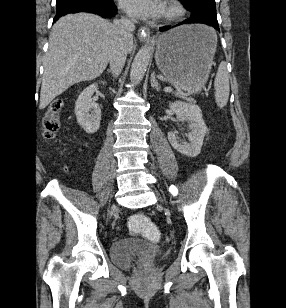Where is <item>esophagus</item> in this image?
Returning a JSON list of instances; mask_svg holds the SVG:
<instances>
[{"label": "esophagus", "instance_id": "34e87169", "mask_svg": "<svg viewBox=\"0 0 286 308\" xmlns=\"http://www.w3.org/2000/svg\"><path fill=\"white\" fill-rule=\"evenodd\" d=\"M150 35H151V32H150V29L148 27H143L137 33V36L141 41L149 40Z\"/></svg>", "mask_w": 286, "mask_h": 308}]
</instances>
